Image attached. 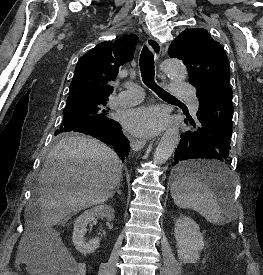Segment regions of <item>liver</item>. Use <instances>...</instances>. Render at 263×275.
Returning <instances> with one entry per match:
<instances>
[{"instance_id": "6515ba94", "label": "liver", "mask_w": 263, "mask_h": 275, "mask_svg": "<svg viewBox=\"0 0 263 275\" xmlns=\"http://www.w3.org/2000/svg\"><path fill=\"white\" fill-rule=\"evenodd\" d=\"M121 161L105 144L83 136H67L49 152L39 176V208L43 226L66 222L74 213L107 201L120 182Z\"/></svg>"}]
</instances>
